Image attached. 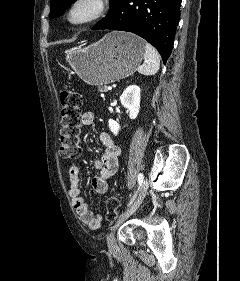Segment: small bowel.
I'll list each match as a JSON object with an SVG mask.
<instances>
[{"mask_svg": "<svg viewBox=\"0 0 240 281\" xmlns=\"http://www.w3.org/2000/svg\"><path fill=\"white\" fill-rule=\"evenodd\" d=\"M94 113L84 112L81 116L83 126H89L94 122ZM99 140L102 144V156L95 162L97 175L91 181L92 189L98 194H104L108 190V181L118 169V158L120 155L119 146L113 141L107 132H100ZM70 190L73 207L79 215L83 224L91 229H97L102 222L101 215H95L88 207L80 192V169L73 165L69 168Z\"/></svg>", "mask_w": 240, "mask_h": 281, "instance_id": "small-bowel-1", "label": "small bowel"}]
</instances>
